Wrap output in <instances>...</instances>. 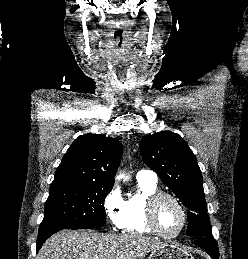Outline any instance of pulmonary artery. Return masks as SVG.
Instances as JSON below:
<instances>
[{"instance_id":"1","label":"pulmonary artery","mask_w":248,"mask_h":259,"mask_svg":"<svg viewBox=\"0 0 248 259\" xmlns=\"http://www.w3.org/2000/svg\"><path fill=\"white\" fill-rule=\"evenodd\" d=\"M138 180H146L149 182L157 183V174L150 169H141L137 172L136 175Z\"/></svg>"}]
</instances>
